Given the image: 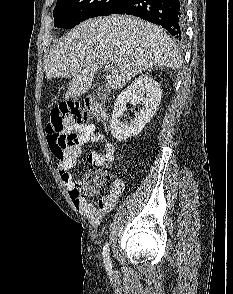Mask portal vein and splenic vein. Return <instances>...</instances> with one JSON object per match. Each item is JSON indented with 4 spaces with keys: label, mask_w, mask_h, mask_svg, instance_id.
Here are the masks:
<instances>
[{
    "label": "portal vein and splenic vein",
    "mask_w": 233,
    "mask_h": 294,
    "mask_svg": "<svg viewBox=\"0 0 233 294\" xmlns=\"http://www.w3.org/2000/svg\"><path fill=\"white\" fill-rule=\"evenodd\" d=\"M106 69H114V66H113V64H110V65H106Z\"/></svg>",
    "instance_id": "obj_1"
}]
</instances>
